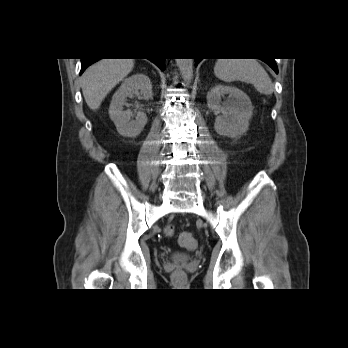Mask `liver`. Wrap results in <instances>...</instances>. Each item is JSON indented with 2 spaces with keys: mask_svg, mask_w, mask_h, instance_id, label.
<instances>
[{
  "mask_svg": "<svg viewBox=\"0 0 348 348\" xmlns=\"http://www.w3.org/2000/svg\"><path fill=\"white\" fill-rule=\"evenodd\" d=\"M134 67V59H101L82 75L81 87L88 107L96 110L107 94L123 80Z\"/></svg>",
  "mask_w": 348,
  "mask_h": 348,
  "instance_id": "obj_1",
  "label": "liver"
}]
</instances>
